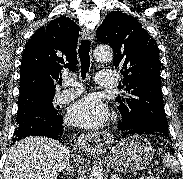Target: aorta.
<instances>
[{
  "mask_svg": "<svg viewBox=\"0 0 183 179\" xmlns=\"http://www.w3.org/2000/svg\"><path fill=\"white\" fill-rule=\"evenodd\" d=\"M94 57L97 61H110L113 58V51L109 46H98L94 50ZM90 179H104L102 163L94 164Z\"/></svg>",
  "mask_w": 183,
  "mask_h": 179,
  "instance_id": "obj_1",
  "label": "aorta"
}]
</instances>
